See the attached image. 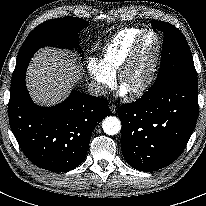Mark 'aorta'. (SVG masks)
Listing matches in <instances>:
<instances>
[{
  "label": "aorta",
  "instance_id": "aorta-1",
  "mask_svg": "<svg viewBox=\"0 0 206 206\" xmlns=\"http://www.w3.org/2000/svg\"><path fill=\"white\" fill-rule=\"evenodd\" d=\"M102 128L108 135H116L121 130L120 120L115 116H108L103 120Z\"/></svg>",
  "mask_w": 206,
  "mask_h": 206
}]
</instances>
